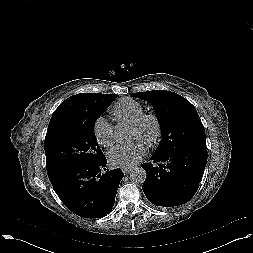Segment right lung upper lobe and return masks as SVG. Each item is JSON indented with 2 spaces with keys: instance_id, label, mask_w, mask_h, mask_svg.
I'll list each match as a JSON object with an SVG mask.
<instances>
[{
  "instance_id": "1",
  "label": "right lung upper lobe",
  "mask_w": 253,
  "mask_h": 253,
  "mask_svg": "<svg viewBox=\"0 0 253 253\" xmlns=\"http://www.w3.org/2000/svg\"><path fill=\"white\" fill-rule=\"evenodd\" d=\"M116 94L82 93L63 101L54 111L50 122L63 117H78L88 113L95 105L115 97Z\"/></svg>"
}]
</instances>
